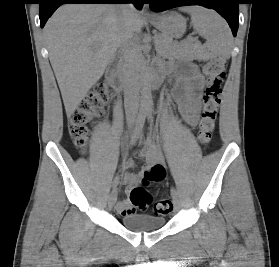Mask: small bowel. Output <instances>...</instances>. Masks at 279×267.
Listing matches in <instances>:
<instances>
[{
    "label": "small bowel",
    "mask_w": 279,
    "mask_h": 267,
    "mask_svg": "<svg viewBox=\"0 0 279 267\" xmlns=\"http://www.w3.org/2000/svg\"><path fill=\"white\" fill-rule=\"evenodd\" d=\"M168 71L176 74V86L174 88V95L180 105V111L185 122L190 125H196L201 108L200 98L198 92L205 86V81L198 73V70L193 64H185L180 68L173 66L168 68ZM156 73L161 74L162 70L157 69ZM142 156L145 158L149 167H157L164 171V161L159 153L154 140L150 139L142 150ZM126 170L134 168L132 161L125 164ZM124 183L126 185V192L130 193L136 186L139 177L135 173L126 171L124 174ZM163 180V179H162ZM135 208L129 199L120 200L116 204V210L121 215L133 214Z\"/></svg>",
    "instance_id": "c3829d8e"
}]
</instances>
